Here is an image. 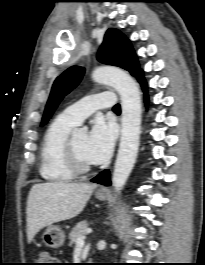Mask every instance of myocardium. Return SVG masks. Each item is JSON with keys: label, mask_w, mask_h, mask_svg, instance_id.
Listing matches in <instances>:
<instances>
[{"label": "myocardium", "mask_w": 205, "mask_h": 265, "mask_svg": "<svg viewBox=\"0 0 205 265\" xmlns=\"http://www.w3.org/2000/svg\"><path fill=\"white\" fill-rule=\"evenodd\" d=\"M67 162L74 173L86 174L93 168L91 164L84 163L80 160L74 145V136H70L66 149Z\"/></svg>", "instance_id": "1"}]
</instances>
